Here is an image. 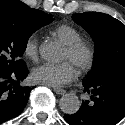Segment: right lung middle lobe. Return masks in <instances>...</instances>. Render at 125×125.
Masks as SVG:
<instances>
[{
    "mask_svg": "<svg viewBox=\"0 0 125 125\" xmlns=\"http://www.w3.org/2000/svg\"><path fill=\"white\" fill-rule=\"evenodd\" d=\"M53 21L52 15L44 13L32 25H17L0 17V65L17 69L25 65L21 59L29 37L39 28Z\"/></svg>",
    "mask_w": 125,
    "mask_h": 125,
    "instance_id": "dd1d6c3e",
    "label": "right lung middle lobe"
}]
</instances>
